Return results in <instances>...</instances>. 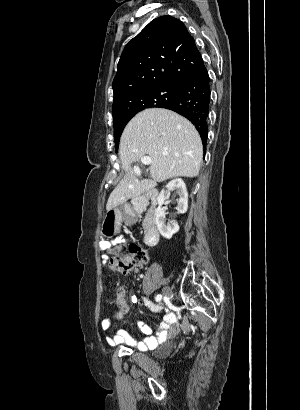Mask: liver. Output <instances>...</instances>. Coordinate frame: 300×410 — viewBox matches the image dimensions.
Returning <instances> with one entry per match:
<instances>
[{
    "instance_id": "obj_1",
    "label": "liver",
    "mask_w": 300,
    "mask_h": 410,
    "mask_svg": "<svg viewBox=\"0 0 300 410\" xmlns=\"http://www.w3.org/2000/svg\"><path fill=\"white\" fill-rule=\"evenodd\" d=\"M124 178L111 192L106 209L153 189L174 177H196L203 147L194 125L181 115L163 108L138 113L125 127L119 145ZM144 156L151 158V180H139L132 167Z\"/></svg>"
}]
</instances>
